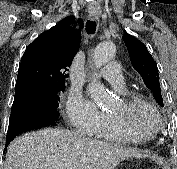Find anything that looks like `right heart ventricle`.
<instances>
[{
  "mask_svg": "<svg viewBox=\"0 0 177 169\" xmlns=\"http://www.w3.org/2000/svg\"><path fill=\"white\" fill-rule=\"evenodd\" d=\"M122 94H126L127 91H120ZM97 138L111 140V141H131L129 140L123 131L120 129L115 119L111 114H104L103 121L100 126L99 132L95 135ZM150 138H144L135 142H144Z\"/></svg>",
  "mask_w": 177,
  "mask_h": 169,
  "instance_id": "right-heart-ventricle-1",
  "label": "right heart ventricle"
}]
</instances>
